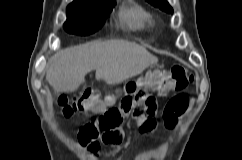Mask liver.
<instances>
[{
    "label": "liver",
    "mask_w": 242,
    "mask_h": 160,
    "mask_svg": "<svg viewBox=\"0 0 242 160\" xmlns=\"http://www.w3.org/2000/svg\"><path fill=\"white\" fill-rule=\"evenodd\" d=\"M157 61V57L136 43L90 42L53 55L48 61L46 80L57 93L74 92L92 70H96L97 80L115 84L142 73Z\"/></svg>",
    "instance_id": "liver-1"
}]
</instances>
